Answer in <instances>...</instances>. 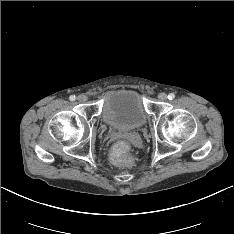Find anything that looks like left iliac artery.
<instances>
[{
    "mask_svg": "<svg viewBox=\"0 0 234 234\" xmlns=\"http://www.w3.org/2000/svg\"><path fill=\"white\" fill-rule=\"evenodd\" d=\"M175 98V94L174 93H170L169 95H168V99L169 100H173Z\"/></svg>",
    "mask_w": 234,
    "mask_h": 234,
    "instance_id": "1",
    "label": "left iliac artery"
}]
</instances>
